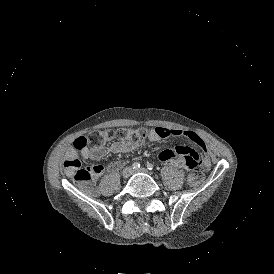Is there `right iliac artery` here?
<instances>
[{"instance_id":"82829eb1","label":"right iliac artery","mask_w":274,"mask_h":274,"mask_svg":"<svg viewBox=\"0 0 274 274\" xmlns=\"http://www.w3.org/2000/svg\"><path fill=\"white\" fill-rule=\"evenodd\" d=\"M132 168L137 170L138 168H140V164L138 162H135L132 164Z\"/></svg>"}]
</instances>
